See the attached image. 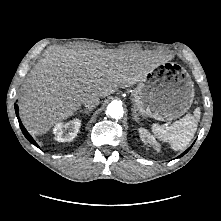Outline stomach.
Wrapping results in <instances>:
<instances>
[{
  "label": "stomach",
  "instance_id": "obj_1",
  "mask_svg": "<svg viewBox=\"0 0 221 221\" xmlns=\"http://www.w3.org/2000/svg\"><path fill=\"white\" fill-rule=\"evenodd\" d=\"M194 93V84L184 70H171L159 64L138 81L133 103L143 117L171 121L187 112Z\"/></svg>",
  "mask_w": 221,
  "mask_h": 221
}]
</instances>
